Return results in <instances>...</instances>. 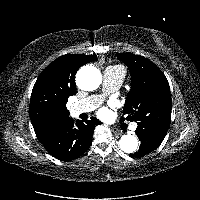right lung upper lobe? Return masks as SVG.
Instances as JSON below:
<instances>
[{
    "label": "right lung upper lobe",
    "mask_w": 200,
    "mask_h": 200,
    "mask_svg": "<svg viewBox=\"0 0 200 200\" xmlns=\"http://www.w3.org/2000/svg\"><path fill=\"white\" fill-rule=\"evenodd\" d=\"M96 55L66 54L48 65L39 75L31 94L29 115L35 133L51 121L69 117V96L76 93L75 74Z\"/></svg>",
    "instance_id": "cb5924a9"
}]
</instances>
